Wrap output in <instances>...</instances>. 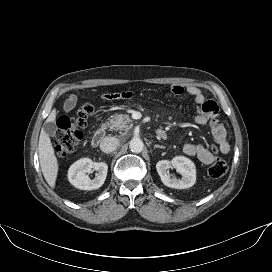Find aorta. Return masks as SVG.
<instances>
[{
    "mask_svg": "<svg viewBox=\"0 0 272 272\" xmlns=\"http://www.w3.org/2000/svg\"><path fill=\"white\" fill-rule=\"evenodd\" d=\"M129 148L133 153H140L144 148V143L139 138H133L130 141Z\"/></svg>",
    "mask_w": 272,
    "mask_h": 272,
    "instance_id": "1",
    "label": "aorta"
}]
</instances>
